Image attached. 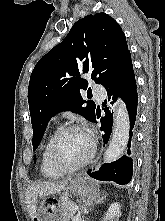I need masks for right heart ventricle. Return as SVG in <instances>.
I'll return each instance as SVG.
<instances>
[{
	"label": "right heart ventricle",
	"instance_id": "obj_1",
	"mask_svg": "<svg viewBox=\"0 0 165 221\" xmlns=\"http://www.w3.org/2000/svg\"><path fill=\"white\" fill-rule=\"evenodd\" d=\"M56 131H54L46 140L42 152H41V159H40V172L43 176L48 177V178H55L59 177L62 175V173L57 172L56 170L53 169L49 162V157H48V149H49V144L54 136Z\"/></svg>",
	"mask_w": 165,
	"mask_h": 221
}]
</instances>
